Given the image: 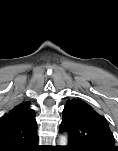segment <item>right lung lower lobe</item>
<instances>
[{
	"instance_id": "obj_1",
	"label": "right lung lower lobe",
	"mask_w": 118,
	"mask_h": 151,
	"mask_svg": "<svg viewBox=\"0 0 118 151\" xmlns=\"http://www.w3.org/2000/svg\"><path fill=\"white\" fill-rule=\"evenodd\" d=\"M35 150H39L37 143H36V145L33 147V149H31L30 151H35Z\"/></svg>"
}]
</instances>
